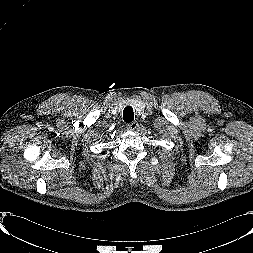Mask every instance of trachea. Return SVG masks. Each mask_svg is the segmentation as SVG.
<instances>
[{
    "mask_svg": "<svg viewBox=\"0 0 253 253\" xmlns=\"http://www.w3.org/2000/svg\"><path fill=\"white\" fill-rule=\"evenodd\" d=\"M123 119L126 123H130L134 120V112H133V108L131 106L124 108Z\"/></svg>",
    "mask_w": 253,
    "mask_h": 253,
    "instance_id": "obj_1",
    "label": "trachea"
}]
</instances>
